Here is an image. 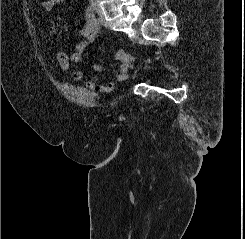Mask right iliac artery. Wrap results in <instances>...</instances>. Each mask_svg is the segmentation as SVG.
I'll list each match as a JSON object with an SVG mask.
<instances>
[{
    "instance_id": "1",
    "label": "right iliac artery",
    "mask_w": 245,
    "mask_h": 239,
    "mask_svg": "<svg viewBox=\"0 0 245 239\" xmlns=\"http://www.w3.org/2000/svg\"><path fill=\"white\" fill-rule=\"evenodd\" d=\"M96 21L99 25L104 26L105 28L107 27L106 22H104L102 18H97Z\"/></svg>"
}]
</instances>
